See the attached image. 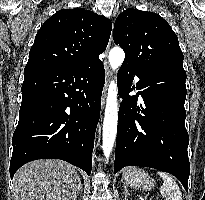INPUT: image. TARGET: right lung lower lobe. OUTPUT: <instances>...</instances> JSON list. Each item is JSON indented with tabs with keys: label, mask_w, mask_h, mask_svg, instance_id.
<instances>
[{
	"label": "right lung lower lobe",
	"mask_w": 205,
	"mask_h": 200,
	"mask_svg": "<svg viewBox=\"0 0 205 200\" xmlns=\"http://www.w3.org/2000/svg\"><path fill=\"white\" fill-rule=\"evenodd\" d=\"M105 71L101 60L77 67H26L10 176L37 159H61L90 175Z\"/></svg>",
	"instance_id": "right-lung-lower-lobe-1"
}]
</instances>
